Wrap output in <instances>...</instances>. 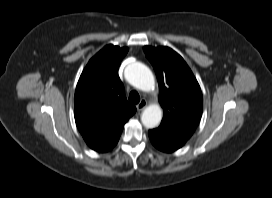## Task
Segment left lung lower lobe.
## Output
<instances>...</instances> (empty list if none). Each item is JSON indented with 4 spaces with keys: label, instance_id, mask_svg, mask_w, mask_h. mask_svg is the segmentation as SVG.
Instances as JSON below:
<instances>
[{
    "label": "left lung lower lobe",
    "instance_id": "1",
    "mask_svg": "<svg viewBox=\"0 0 272 198\" xmlns=\"http://www.w3.org/2000/svg\"><path fill=\"white\" fill-rule=\"evenodd\" d=\"M148 134L152 144L163 152L179 149L192 135L162 123L158 128L149 130Z\"/></svg>",
    "mask_w": 272,
    "mask_h": 198
}]
</instances>
